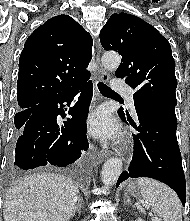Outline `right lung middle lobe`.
<instances>
[{
	"label": "right lung middle lobe",
	"mask_w": 190,
	"mask_h": 221,
	"mask_svg": "<svg viewBox=\"0 0 190 221\" xmlns=\"http://www.w3.org/2000/svg\"><path fill=\"white\" fill-rule=\"evenodd\" d=\"M32 110H26L22 112H18L14 117V123L16 128L19 130L23 127L24 123L28 120Z\"/></svg>",
	"instance_id": "right-lung-middle-lobe-1"
}]
</instances>
